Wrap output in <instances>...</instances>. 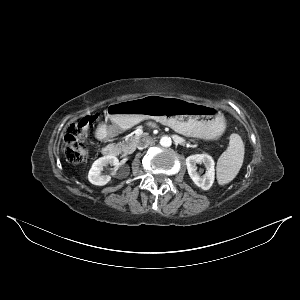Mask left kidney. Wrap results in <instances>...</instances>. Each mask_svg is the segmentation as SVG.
<instances>
[{
	"mask_svg": "<svg viewBox=\"0 0 300 300\" xmlns=\"http://www.w3.org/2000/svg\"><path fill=\"white\" fill-rule=\"evenodd\" d=\"M203 163L206 169L204 175L200 176L197 172V164ZM214 160L208 154H195L186 158V166L188 174L193 182L201 187L203 190H208L211 188L214 177H215V168Z\"/></svg>",
	"mask_w": 300,
	"mask_h": 300,
	"instance_id": "obj_1",
	"label": "left kidney"
}]
</instances>
